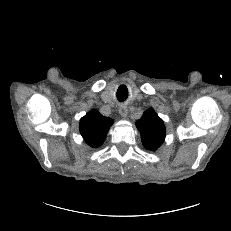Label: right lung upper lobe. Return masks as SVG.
<instances>
[{
	"label": "right lung upper lobe",
	"mask_w": 231,
	"mask_h": 231,
	"mask_svg": "<svg viewBox=\"0 0 231 231\" xmlns=\"http://www.w3.org/2000/svg\"><path fill=\"white\" fill-rule=\"evenodd\" d=\"M113 120L92 110L80 120V133L84 140L93 148L103 144Z\"/></svg>",
	"instance_id": "1"
}]
</instances>
